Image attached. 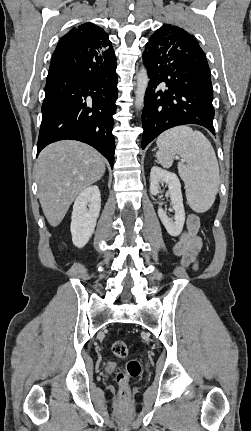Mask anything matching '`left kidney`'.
Masks as SVG:
<instances>
[{"label": "left kidney", "mask_w": 251, "mask_h": 431, "mask_svg": "<svg viewBox=\"0 0 251 431\" xmlns=\"http://www.w3.org/2000/svg\"><path fill=\"white\" fill-rule=\"evenodd\" d=\"M164 182L168 185V193L175 211L174 221L171 220L166 212L158 207V216L165 226L170 236L176 237L180 235L185 222V210L183 205V197L181 192V184L175 173L161 169L158 166H153L150 172V193L157 195L159 193V184Z\"/></svg>", "instance_id": "left-kidney-1"}]
</instances>
